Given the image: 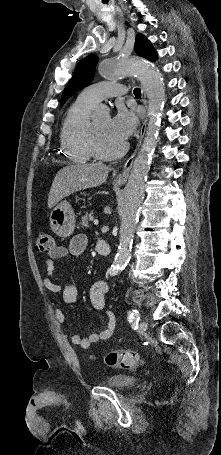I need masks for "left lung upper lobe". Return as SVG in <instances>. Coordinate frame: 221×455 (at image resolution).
I'll return each instance as SVG.
<instances>
[{"instance_id": "5c2ea615", "label": "left lung upper lobe", "mask_w": 221, "mask_h": 455, "mask_svg": "<svg viewBox=\"0 0 221 455\" xmlns=\"http://www.w3.org/2000/svg\"><path fill=\"white\" fill-rule=\"evenodd\" d=\"M135 51L138 55L150 61H155L157 58V53L149 40L140 33L136 36ZM97 63L98 57L96 55H89L77 64L71 80L63 91L61 105L72 95L91 83Z\"/></svg>"}]
</instances>
